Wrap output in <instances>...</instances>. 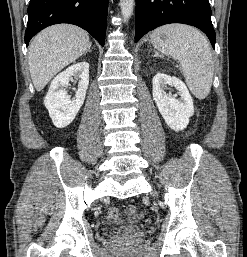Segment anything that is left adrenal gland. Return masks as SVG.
<instances>
[{"label": "left adrenal gland", "mask_w": 247, "mask_h": 257, "mask_svg": "<svg viewBox=\"0 0 247 257\" xmlns=\"http://www.w3.org/2000/svg\"><path fill=\"white\" fill-rule=\"evenodd\" d=\"M158 56H159V54L156 52L155 55H154V57H158Z\"/></svg>", "instance_id": "obj_1"}]
</instances>
